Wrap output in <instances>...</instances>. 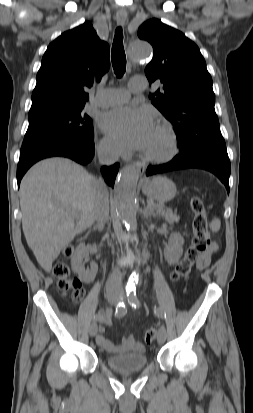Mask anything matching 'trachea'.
Returning <instances> with one entry per match:
<instances>
[{"label": "trachea", "mask_w": 253, "mask_h": 413, "mask_svg": "<svg viewBox=\"0 0 253 413\" xmlns=\"http://www.w3.org/2000/svg\"><path fill=\"white\" fill-rule=\"evenodd\" d=\"M111 58L114 72L117 77L121 78L126 70V55L123 47V35L121 27H118L115 31Z\"/></svg>", "instance_id": "trachea-1"}]
</instances>
